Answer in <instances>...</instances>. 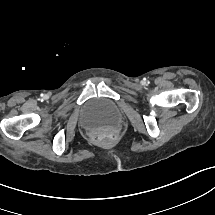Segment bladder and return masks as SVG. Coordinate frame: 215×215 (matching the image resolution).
<instances>
[{
  "instance_id": "31cf9c89",
  "label": "bladder",
  "mask_w": 215,
  "mask_h": 215,
  "mask_svg": "<svg viewBox=\"0 0 215 215\" xmlns=\"http://www.w3.org/2000/svg\"><path fill=\"white\" fill-rule=\"evenodd\" d=\"M122 120L118 104L108 98H94L84 104L79 115V124L89 131L111 130Z\"/></svg>"
}]
</instances>
